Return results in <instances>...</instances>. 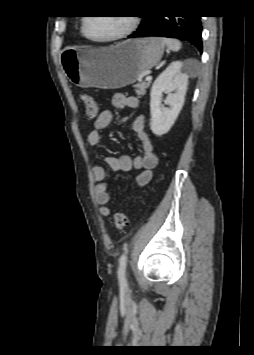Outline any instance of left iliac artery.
<instances>
[{
  "mask_svg": "<svg viewBox=\"0 0 254 355\" xmlns=\"http://www.w3.org/2000/svg\"><path fill=\"white\" fill-rule=\"evenodd\" d=\"M126 264H127V255H126V251H125L119 259V267H118L119 283L123 286L127 285V280H126V275H125Z\"/></svg>",
  "mask_w": 254,
  "mask_h": 355,
  "instance_id": "obj_1",
  "label": "left iliac artery"
}]
</instances>
